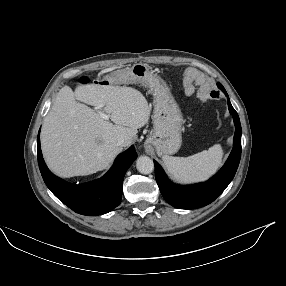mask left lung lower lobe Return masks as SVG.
I'll list each match as a JSON object with an SVG mask.
<instances>
[{
  "instance_id": "1",
  "label": "left lung lower lobe",
  "mask_w": 286,
  "mask_h": 286,
  "mask_svg": "<svg viewBox=\"0 0 286 286\" xmlns=\"http://www.w3.org/2000/svg\"><path fill=\"white\" fill-rule=\"evenodd\" d=\"M223 92L227 96L226 91L223 90ZM228 107L236 128L234 146L224 166L208 181L189 186L175 185L166 177L161 166L154 160L157 184L163 197L170 205L180 209H195L206 206L213 202L232 181L241 157V124L229 98Z\"/></svg>"
}]
</instances>
